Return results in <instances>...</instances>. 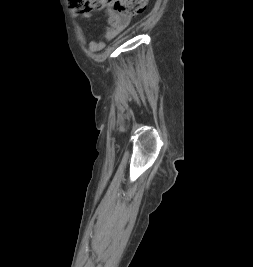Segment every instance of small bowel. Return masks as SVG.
<instances>
[{"instance_id":"obj_1","label":"small bowel","mask_w":253,"mask_h":267,"mask_svg":"<svg viewBox=\"0 0 253 267\" xmlns=\"http://www.w3.org/2000/svg\"><path fill=\"white\" fill-rule=\"evenodd\" d=\"M89 17V14L85 15ZM130 16L127 14L117 13L114 10H108V20L105 27V32L99 39L90 40L88 46L90 51L98 52L104 49L106 43L116 38L120 33H122L130 24ZM80 39L85 43V37L81 31L78 29Z\"/></svg>"}]
</instances>
